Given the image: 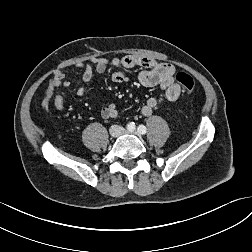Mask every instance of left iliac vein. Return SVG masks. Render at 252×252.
Here are the masks:
<instances>
[{
    "instance_id": "obj_1",
    "label": "left iliac vein",
    "mask_w": 252,
    "mask_h": 252,
    "mask_svg": "<svg viewBox=\"0 0 252 252\" xmlns=\"http://www.w3.org/2000/svg\"><path fill=\"white\" fill-rule=\"evenodd\" d=\"M125 133H126V132H125ZM130 133L135 134V135H137V134H138V132H137V131H135V130L130 131Z\"/></svg>"
}]
</instances>
